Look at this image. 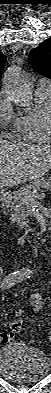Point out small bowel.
Here are the masks:
<instances>
[{"label":"small bowel","mask_w":51,"mask_h":393,"mask_svg":"<svg viewBox=\"0 0 51 393\" xmlns=\"http://www.w3.org/2000/svg\"><path fill=\"white\" fill-rule=\"evenodd\" d=\"M27 300L35 311L41 310L44 306V299L39 294H32V295L28 296ZM14 314L16 316H21L23 314V309L17 308L15 310ZM1 337L4 342H8L13 337V332L12 331H4L1 335Z\"/></svg>","instance_id":"1"}]
</instances>
